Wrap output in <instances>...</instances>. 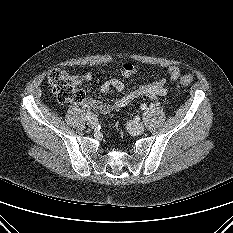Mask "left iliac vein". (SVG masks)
I'll return each instance as SVG.
<instances>
[{
    "label": "left iliac vein",
    "mask_w": 233,
    "mask_h": 233,
    "mask_svg": "<svg viewBox=\"0 0 233 233\" xmlns=\"http://www.w3.org/2000/svg\"><path fill=\"white\" fill-rule=\"evenodd\" d=\"M128 129L135 135L142 134L145 131V127L141 122L131 121L128 124Z\"/></svg>",
    "instance_id": "4c4485c4"
}]
</instances>
